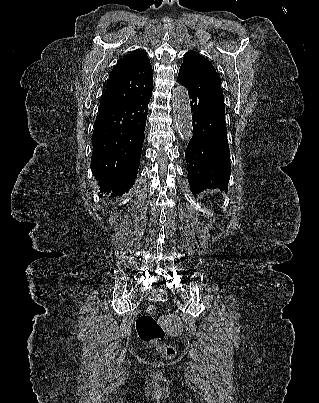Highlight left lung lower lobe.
<instances>
[{
	"instance_id": "0a47b994",
	"label": "left lung lower lobe",
	"mask_w": 319,
	"mask_h": 403,
	"mask_svg": "<svg viewBox=\"0 0 319 403\" xmlns=\"http://www.w3.org/2000/svg\"><path fill=\"white\" fill-rule=\"evenodd\" d=\"M178 83L188 90L193 113V136L185 152L190 189L194 195L207 188L227 191L231 166L222 88L182 69Z\"/></svg>"
}]
</instances>
